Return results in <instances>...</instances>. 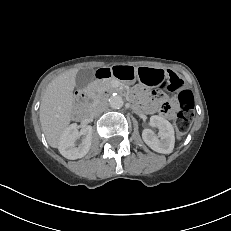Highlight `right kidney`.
Returning <instances> with one entry per match:
<instances>
[{
    "label": "right kidney",
    "mask_w": 231,
    "mask_h": 231,
    "mask_svg": "<svg viewBox=\"0 0 231 231\" xmlns=\"http://www.w3.org/2000/svg\"><path fill=\"white\" fill-rule=\"evenodd\" d=\"M81 137V142L76 141ZM92 141V127L87 126L80 131L77 124H71L60 137L59 152L67 159H78L84 157L90 150Z\"/></svg>",
    "instance_id": "obj_1"
}]
</instances>
